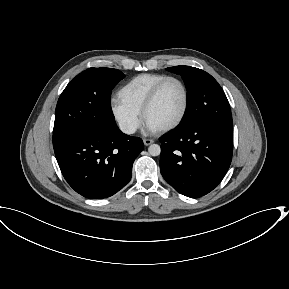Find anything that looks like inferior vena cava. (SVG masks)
Segmentation results:
<instances>
[{
	"label": "inferior vena cava",
	"instance_id": "obj_1",
	"mask_svg": "<svg viewBox=\"0 0 289 289\" xmlns=\"http://www.w3.org/2000/svg\"><path fill=\"white\" fill-rule=\"evenodd\" d=\"M119 127L120 130L125 134H133L137 129V126L131 123H121Z\"/></svg>",
	"mask_w": 289,
	"mask_h": 289
}]
</instances>
